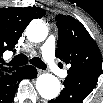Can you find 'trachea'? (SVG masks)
Returning <instances> with one entry per match:
<instances>
[{
    "mask_svg": "<svg viewBox=\"0 0 103 103\" xmlns=\"http://www.w3.org/2000/svg\"><path fill=\"white\" fill-rule=\"evenodd\" d=\"M28 63V57L24 54H19L15 56L8 65L10 66H22ZM30 63L34 66H36L39 69H46V64L38 57H34L30 59Z\"/></svg>",
    "mask_w": 103,
    "mask_h": 103,
    "instance_id": "trachea-1",
    "label": "trachea"
}]
</instances>
